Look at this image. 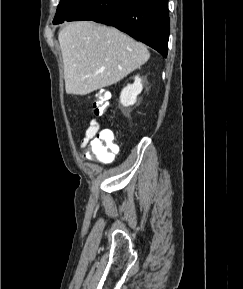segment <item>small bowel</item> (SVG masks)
Masks as SVG:
<instances>
[{"instance_id": "1", "label": "small bowel", "mask_w": 243, "mask_h": 289, "mask_svg": "<svg viewBox=\"0 0 243 289\" xmlns=\"http://www.w3.org/2000/svg\"><path fill=\"white\" fill-rule=\"evenodd\" d=\"M101 132L100 125L96 119H92L88 127L84 130L81 137V146L87 145Z\"/></svg>"}]
</instances>
